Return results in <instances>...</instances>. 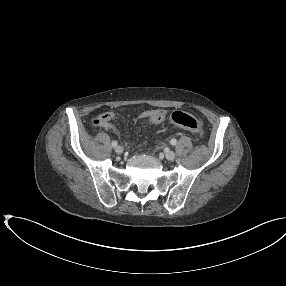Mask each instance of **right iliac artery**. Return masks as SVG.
<instances>
[{
	"label": "right iliac artery",
	"instance_id": "1",
	"mask_svg": "<svg viewBox=\"0 0 286 286\" xmlns=\"http://www.w3.org/2000/svg\"><path fill=\"white\" fill-rule=\"evenodd\" d=\"M112 146L116 147L117 146V142L116 141H112Z\"/></svg>",
	"mask_w": 286,
	"mask_h": 286
}]
</instances>
